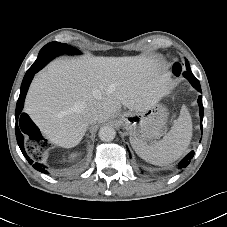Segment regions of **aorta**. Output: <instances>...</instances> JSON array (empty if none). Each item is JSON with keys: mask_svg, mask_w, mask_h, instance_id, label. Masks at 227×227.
Returning a JSON list of instances; mask_svg holds the SVG:
<instances>
[{"mask_svg": "<svg viewBox=\"0 0 227 227\" xmlns=\"http://www.w3.org/2000/svg\"><path fill=\"white\" fill-rule=\"evenodd\" d=\"M98 136H99L101 141L110 142L115 138L116 131L111 126H103V127L100 128Z\"/></svg>", "mask_w": 227, "mask_h": 227, "instance_id": "762f6f07", "label": "aorta"}]
</instances>
